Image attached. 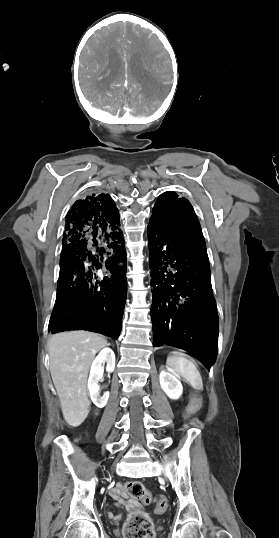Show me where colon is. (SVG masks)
Returning <instances> with one entry per match:
<instances>
[{"instance_id":"obj_1","label":"colon","mask_w":279,"mask_h":538,"mask_svg":"<svg viewBox=\"0 0 279 538\" xmlns=\"http://www.w3.org/2000/svg\"><path fill=\"white\" fill-rule=\"evenodd\" d=\"M127 490L132 498L137 500H152V497L147 494L145 487L140 482H131L127 484ZM155 512L162 514L168 507V500L163 495H158L154 499ZM124 538H154V531L151 521L143 516L136 515L128 522L123 529Z\"/></svg>"}]
</instances>
